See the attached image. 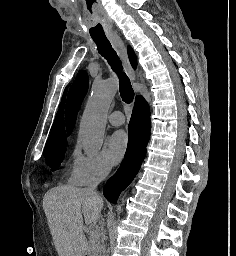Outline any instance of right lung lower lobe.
Listing matches in <instances>:
<instances>
[{
    "label": "right lung lower lobe",
    "instance_id": "right-lung-lower-lobe-1",
    "mask_svg": "<svg viewBox=\"0 0 236 256\" xmlns=\"http://www.w3.org/2000/svg\"><path fill=\"white\" fill-rule=\"evenodd\" d=\"M150 109L142 96H137L128 125V146L124 160L116 174L104 186V196L116 203L117 198L134 179L146 156V146L150 138Z\"/></svg>",
    "mask_w": 236,
    "mask_h": 256
}]
</instances>
